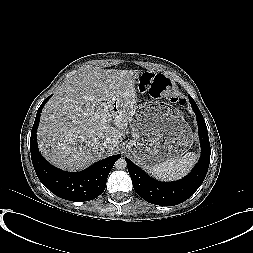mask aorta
Here are the masks:
<instances>
[{"label": "aorta", "mask_w": 253, "mask_h": 253, "mask_svg": "<svg viewBox=\"0 0 253 253\" xmlns=\"http://www.w3.org/2000/svg\"><path fill=\"white\" fill-rule=\"evenodd\" d=\"M127 167V162L124 158H119L115 162V168L118 170H123Z\"/></svg>", "instance_id": "762f6f07"}]
</instances>
